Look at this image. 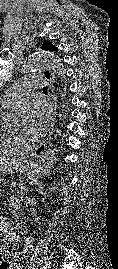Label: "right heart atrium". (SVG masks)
<instances>
[{"label": "right heart atrium", "mask_w": 118, "mask_h": 269, "mask_svg": "<svg viewBox=\"0 0 118 269\" xmlns=\"http://www.w3.org/2000/svg\"><path fill=\"white\" fill-rule=\"evenodd\" d=\"M8 136V138L17 146L21 147L25 145L26 139L18 133H13V134H5Z\"/></svg>", "instance_id": "right-heart-atrium-1"}]
</instances>
